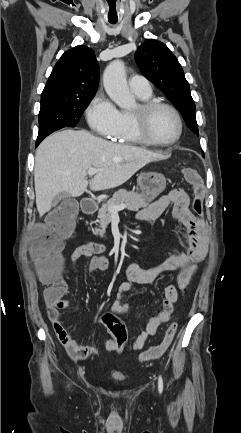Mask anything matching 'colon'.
I'll use <instances>...</instances> for the list:
<instances>
[{"instance_id":"obj_1","label":"colon","mask_w":241,"mask_h":433,"mask_svg":"<svg viewBox=\"0 0 241 433\" xmlns=\"http://www.w3.org/2000/svg\"><path fill=\"white\" fill-rule=\"evenodd\" d=\"M183 173L186 179L193 184V210L200 214L202 212L204 187L195 170L185 169ZM80 213L81 206L78 205L77 200H58L55 212L48 217V226L41 233L36 232L32 242L31 255L36 263L38 275L48 286L44 292L48 303H53L60 298L64 291L65 283L60 274L63 240L70 235L73 229L74 214ZM189 281L190 276L188 274H181L178 278L180 290H186ZM101 318L103 327L112 333L115 352L123 353L127 346V333L119 313L114 312L111 315L104 312ZM176 330L177 324L172 323L167 328L161 343L143 351L139 356V360L147 361L161 357L173 342Z\"/></svg>"}]
</instances>
